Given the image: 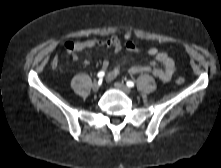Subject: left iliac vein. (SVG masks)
<instances>
[{"mask_svg": "<svg viewBox=\"0 0 221 168\" xmlns=\"http://www.w3.org/2000/svg\"><path fill=\"white\" fill-rule=\"evenodd\" d=\"M114 86L126 94L132 93V90L128 86H126L125 84H123L121 82H115Z\"/></svg>", "mask_w": 221, "mask_h": 168, "instance_id": "left-iliac-vein-1", "label": "left iliac vein"}]
</instances>
